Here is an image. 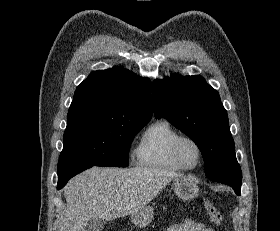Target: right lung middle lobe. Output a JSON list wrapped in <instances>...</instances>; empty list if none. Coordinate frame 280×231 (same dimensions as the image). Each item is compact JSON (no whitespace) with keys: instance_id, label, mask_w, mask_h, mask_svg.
I'll return each mask as SVG.
<instances>
[{"instance_id":"1","label":"right lung middle lobe","mask_w":280,"mask_h":231,"mask_svg":"<svg viewBox=\"0 0 280 231\" xmlns=\"http://www.w3.org/2000/svg\"><path fill=\"white\" fill-rule=\"evenodd\" d=\"M148 122L112 118H71L59 162L127 167L135 135Z\"/></svg>"}]
</instances>
